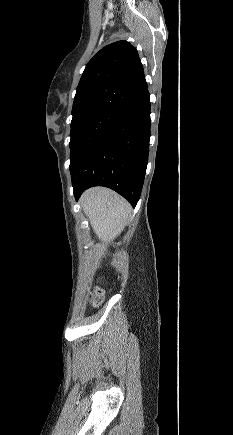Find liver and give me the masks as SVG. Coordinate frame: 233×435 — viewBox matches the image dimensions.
<instances>
[{"mask_svg":"<svg viewBox=\"0 0 233 435\" xmlns=\"http://www.w3.org/2000/svg\"><path fill=\"white\" fill-rule=\"evenodd\" d=\"M80 203L103 245L113 241L123 231L132 210L124 198L104 187L86 190Z\"/></svg>","mask_w":233,"mask_h":435,"instance_id":"1","label":"liver"}]
</instances>
